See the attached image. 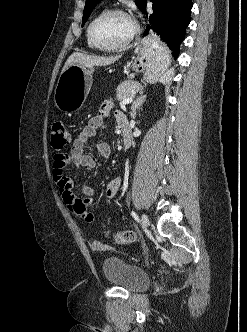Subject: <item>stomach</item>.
Wrapping results in <instances>:
<instances>
[{
	"label": "stomach",
	"instance_id": "stomach-1",
	"mask_svg": "<svg viewBox=\"0 0 247 332\" xmlns=\"http://www.w3.org/2000/svg\"><path fill=\"white\" fill-rule=\"evenodd\" d=\"M138 58L132 64L136 73L145 72L146 81L153 83L162 78L170 65V53L157 37L148 36L137 43ZM94 67L73 64L61 73L55 88V106L65 114L79 111L92 86Z\"/></svg>",
	"mask_w": 247,
	"mask_h": 332
}]
</instances>
